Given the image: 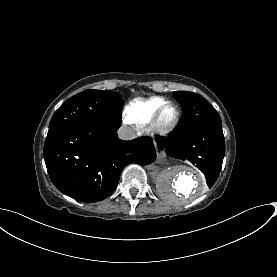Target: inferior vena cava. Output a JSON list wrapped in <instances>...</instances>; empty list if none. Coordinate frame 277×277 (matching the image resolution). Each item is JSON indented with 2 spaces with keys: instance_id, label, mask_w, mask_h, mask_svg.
<instances>
[{
  "instance_id": "1",
  "label": "inferior vena cava",
  "mask_w": 277,
  "mask_h": 277,
  "mask_svg": "<svg viewBox=\"0 0 277 277\" xmlns=\"http://www.w3.org/2000/svg\"><path fill=\"white\" fill-rule=\"evenodd\" d=\"M118 137L122 140H131L137 137L136 132L133 128L127 126H121L118 131Z\"/></svg>"
}]
</instances>
